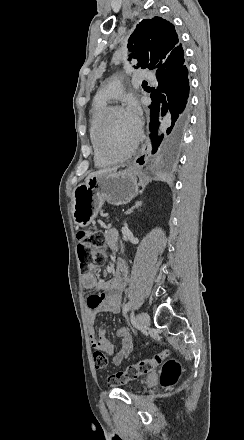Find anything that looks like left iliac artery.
<instances>
[{"label":"left iliac artery","mask_w":244,"mask_h":440,"mask_svg":"<svg viewBox=\"0 0 244 440\" xmlns=\"http://www.w3.org/2000/svg\"><path fill=\"white\" fill-rule=\"evenodd\" d=\"M132 308V303L128 302L127 304H125V306L123 307V315L125 316L126 313Z\"/></svg>","instance_id":"left-iliac-artery-1"}]
</instances>
